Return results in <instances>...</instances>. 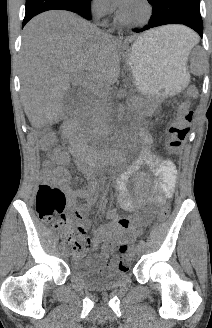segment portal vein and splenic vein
Wrapping results in <instances>:
<instances>
[{
    "instance_id": "1",
    "label": "portal vein and splenic vein",
    "mask_w": 212,
    "mask_h": 328,
    "mask_svg": "<svg viewBox=\"0 0 212 328\" xmlns=\"http://www.w3.org/2000/svg\"><path fill=\"white\" fill-rule=\"evenodd\" d=\"M76 77H77V79H80L81 78V76L80 75H77V74H76Z\"/></svg>"
}]
</instances>
